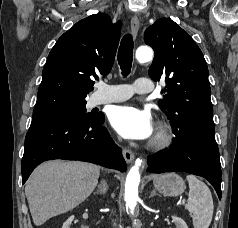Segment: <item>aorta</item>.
Instances as JSON below:
<instances>
[{"label": "aorta", "mask_w": 238, "mask_h": 228, "mask_svg": "<svg viewBox=\"0 0 238 228\" xmlns=\"http://www.w3.org/2000/svg\"><path fill=\"white\" fill-rule=\"evenodd\" d=\"M136 59L139 63H146L153 59V50L150 47L142 46L136 50ZM140 160H137L127 174L125 181L124 199L126 207L134 213L138 201V186L140 183Z\"/></svg>", "instance_id": "aorta-1"}]
</instances>
